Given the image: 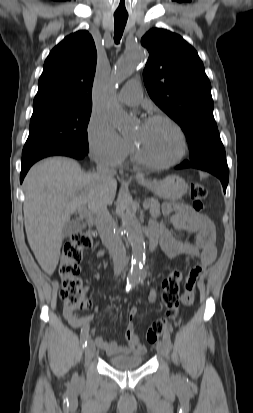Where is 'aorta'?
<instances>
[{
	"label": "aorta",
	"mask_w": 253,
	"mask_h": 413,
	"mask_svg": "<svg viewBox=\"0 0 253 413\" xmlns=\"http://www.w3.org/2000/svg\"><path fill=\"white\" fill-rule=\"evenodd\" d=\"M145 57V50L137 45L128 50L126 55L119 59L105 83L104 93L107 96L105 102V113L112 124L124 132L132 127L131 119L127 112L113 99L119 86L134 71L136 65ZM122 220V228L132 248L131 270L127 278V287H135L145 277V240L142 226L135 216L133 207L127 202L119 206Z\"/></svg>",
	"instance_id": "762f6f07"
}]
</instances>
